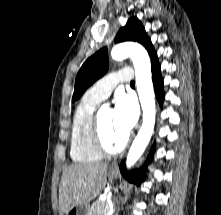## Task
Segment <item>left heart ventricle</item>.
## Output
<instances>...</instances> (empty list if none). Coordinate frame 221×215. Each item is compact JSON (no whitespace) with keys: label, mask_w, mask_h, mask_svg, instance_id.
Returning a JSON list of instances; mask_svg holds the SVG:
<instances>
[{"label":"left heart ventricle","mask_w":221,"mask_h":215,"mask_svg":"<svg viewBox=\"0 0 221 215\" xmlns=\"http://www.w3.org/2000/svg\"><path fill=\"white\" fill-rule=\"evenodd\" d=\"M100 124L104 140L110 148H118L125 140L114 128L113 112L103 111L100 113Z\"/></svg>","instance_id":"b2bd125f"}]
</instances>
